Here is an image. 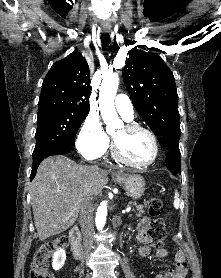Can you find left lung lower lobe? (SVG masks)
I'll return each mask as SVG.
<instances>
[{"mask_svg":"<svg viewBox=\"0 0 221 278\" xmlns=\"http://www.w3.org/2000/svg\"><path fill=\"white\" fill-rule=\"evenodd\" d=\"M180 161L181 154L179 148L168 149V153L166 156V165L173 174L181 172Z\"/></svg>","mask_w":221,"mask_h":278,"instance_id":"0a47b994","label":"left lung lower lobe"}]
</instances>
